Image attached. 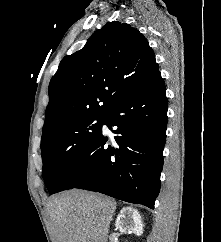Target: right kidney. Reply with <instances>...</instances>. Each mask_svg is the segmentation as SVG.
<instances>
[{
    "label": "right kidney",
    "mask_w": 221,
    "mask_h": 242,
    "mask_svg": "<svg viewBox=\"0 0 221 242\" xmlns=\"http://www.w3.org/2000/svg\"><path fill=\"white\" fill-rule=\"evenodd\" d=\"M115 227L120 232L134 233L137 236L143 234V223L137 209L123 207L115 221Z\"/></svg>",
    "instance_id": "right-kidney-1"
}]
</instances>
